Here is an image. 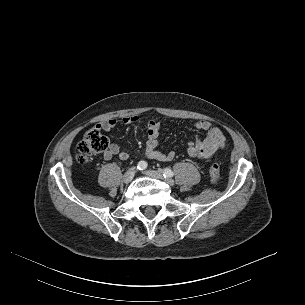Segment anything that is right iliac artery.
I'll use <instances>...</instances> for the list:
<instances>
[{
	"label": "right iliac artery",
	"mask_w": 305,
	"mask_h": 305,
	"mask_svg": "<svg viewBox=\"0 0 305 305\" xmlns=\"http://www.w3.org/2000/svg\"><path fill=\"white\" fill-rule=\"evenodd\" d=\"M147 168V163L145 161H140L138 164H137V169L138 170H144Z\"/></svg>",
	"instance_id": "1"
}]
</instances>
